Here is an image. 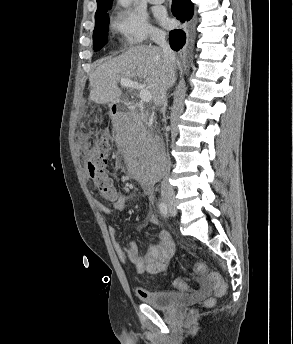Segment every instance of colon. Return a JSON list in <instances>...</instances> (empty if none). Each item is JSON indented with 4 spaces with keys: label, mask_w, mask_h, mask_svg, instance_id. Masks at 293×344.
Masks as SVG:
<instances>
[{
    "label": "colon",
    "mask_w": 293,
    "mask_h": 344,
    "mask_svg": "<svg viewBox=\"0 0 293 344\" xmlns=\"http://www.w3.org/2000/svg\"><path fill=\"white\" fill-rule=\"evenodd\" d=\"M110 142L106 138L99 140L93 147L87 158V170L91 181L98 188L101 195L108 200H116L118 191L113 178L108 174L107 166L109 159ZM193 273L214 284V294L205 301L206 307L214 305L217 297L225 294L227 286L223 279L217 273H208L204 263H196L193 266ZM183 279H177L175 285L182 287Z\"/></svg>",
    "instance_id": "obj_1"
}]
</instances>
